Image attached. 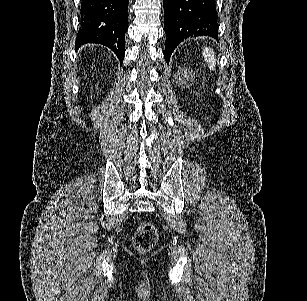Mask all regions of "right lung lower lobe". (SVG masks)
<instances>
[{"instance_id":"obj_1","label":"right lung lower lobe","mask_w":307,"mask_h":301,"mask_svg":"<svg viewBox=\"0 0 307 301\" xmlns=\"http://www.w3.org/2000/svg\"><path fill=\"white\" fill-rule=\"evenodd\" d=\"M81 27L75 48L86 43L102 44L110 48L122 63L124 35L128 30L129 0H81Z\"/></svg>"}]
</instances>
